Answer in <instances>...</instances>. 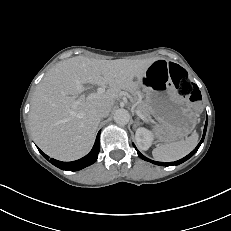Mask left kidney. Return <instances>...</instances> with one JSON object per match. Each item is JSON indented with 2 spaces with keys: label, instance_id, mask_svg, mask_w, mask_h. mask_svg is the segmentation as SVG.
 Wrapping results in <instances>:
<instances>
[{
  "label": "left kidney",
  "instance_id": "5707ae66",
  "mask_svg": "<svg viewBox=\"0 0 231 231\" xmlns=\"http://www.w3.org/2000/svg\"><path fill=\"white\" fill-rule=\"evenodd\" d=\"M135 140L138 147L142 150H148L152 144V133L146 128L140 127L136 130Z\"/></svg>",
  "mask_w": 231,
  "mask_h": 231
}]
</instances>
